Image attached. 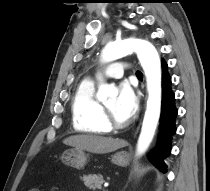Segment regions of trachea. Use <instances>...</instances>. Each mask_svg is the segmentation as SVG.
Masks as SVG:
<instances>
[{"instance_id": "1", "label": "trachea", "mask_w": 210, "mask_h": 191, "mask_svg": "<svg viewBox=\"0 0 210 191\" xmlns=\"http://www.w3.org/2000/svg\"><path fill=\"white\" fill-rule=\"evenodd\" d=\"M136 75H137V77H142V73L139 71H137Z\"/></svg>"}]
</instances>
